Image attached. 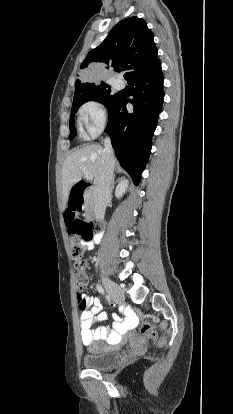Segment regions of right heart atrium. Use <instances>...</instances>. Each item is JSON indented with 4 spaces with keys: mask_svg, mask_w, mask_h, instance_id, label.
<instances>
[{
    "mask_svg": "<svg viewBox=\"0 0 233 414\" xmlns=\"http://www.w3.org/2000/svg\"><path fill=\"white\" fill-rule=\"evenodd\" d=\"M79 117L85 126L87 135L96 137L107 125L108 111L102 102L90 100L80 107Z\"/></svg>",
    "mask_w": 233,
    "mask_h": 414,
    "instance_id": "right-heart-atrium-1",
    "label": "right heart atrium"
}]
</instances>
